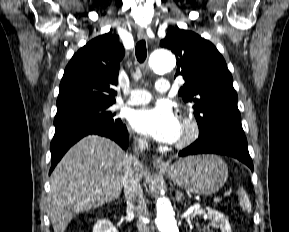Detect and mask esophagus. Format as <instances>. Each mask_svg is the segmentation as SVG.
I'll return each mask as SVG.
<instances>
[{
  "mask_svg": "<svg viewBox=\"0 0 289 232\" xmlns=\"http://www.w3.org/2000/svg\"><path fill=\"white\" fill-rule=\"evenodd\" d=\"M137 37L140 40L147 39V35H146L145 30L143 28L138 29ZM153 167L155 169L164 170V169H167L168 165L163 161V159L161 157H156L153 160Z\"/></svg>",
  "mask_w": 289,
  "mask_h": 232,
  "instance_id": "esophagus-1",
  "label": "esophagus"
}]
</instances>
